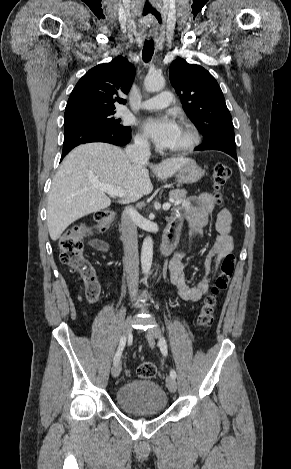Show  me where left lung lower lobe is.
Segmentation results:
<instances>
[{"label":"left lung lower lobe","instance_id":"1","mask_svg":"<svg viewBox=\"0 0 291 469\" xmlns=\"http://www.w3.org/2000/svg\"><path fill=\"white\" fill-rule=\"evenodd\" d=\"M195 150L202 151V150H219L223 151L230 156H232L234 159L237 160V155H236V144L235 141L231 140H216L214 142L208 143V144H203Z\"/></svg>","mask_w":291,"mask_h":469}]
</instances>
